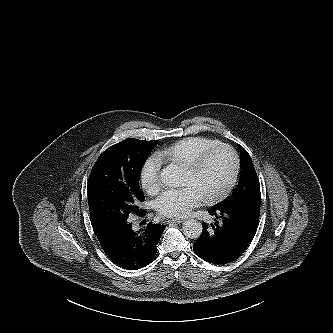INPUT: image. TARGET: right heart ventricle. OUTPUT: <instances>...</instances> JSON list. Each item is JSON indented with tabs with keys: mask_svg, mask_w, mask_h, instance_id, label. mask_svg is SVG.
<instances>
[{
	"mask_svg": "<svg viewBox=\"0 0 333 333\" xmlns=\"http://www.w3.org/2000/svg\"><path fill=\"white\" fill-rule=\"evenodd\" d=\"M220 143L219 140L204 136L187 137L163 148L158 154L162 159L184 167L203 150Z\"/></svg>",
	"mask_w": 333,
	"mask_h": 333,
	"instance_id": "right-heart-ventricle-1",
	"label": "right heart ventricle"
}]
</instances>
